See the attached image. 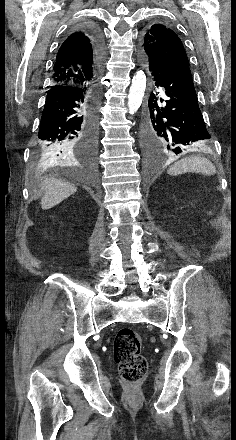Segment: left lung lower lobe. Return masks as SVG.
Returning a JSON list of instances; mask_svg holds the SVG:
<instances>
[{
    "mask_svg": "<svg viewBox=\"0 0 236 440\" xmlns=\"http://www.w3.org/2000/svg\"><path fill=\"white\" fill-rule=\"evenodd\" d=\"M155 86L165 95L151 92L142 126V138L150 155L161 150L175 154L198 148L210 140L198 105L190 69L183 64L149 66ZM163 104V106H162Z\"/></svg>",
    "mask_w": 236,
    "mask_h": 440,
    "instance_id": "0a47b994",
    "label": "left lung lower lobe"
}]
</instances>
